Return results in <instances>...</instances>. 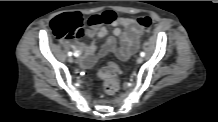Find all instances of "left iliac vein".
Masks as SVG:
<instances>
[{
  "mask_svg": "<svg viewBox=\"0 0 218 122\" xmlns=\"http://www.w3.org/2000/svg\"><path fill=\"white\" fill-rule=\"evenodd\" d=\"M136 61L138 64H140L143 62V58L141 56H139Z\"/></svg>",
  "mask_w": 218,
  "mask_h": 122,
  "instance_id": "obj_1",
  "label": "left iliac vein"
}]
</instances>
